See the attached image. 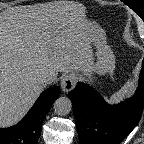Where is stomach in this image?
Listing matches in <instances>:
<instances>
[{
  "instance_id": "obj_1",
  "label": "stomach",
  "mask_w": 144,
  "mask_h": 144,
  "mask_svg": "<svg viewBox=\"0 0 144 144\" xmlns=\"http://www.w3.org/2000/svg\"><path fill=\"white\" fill-rule=\"evenodd\" d=\"M88 23L90 31L89 42L95 49V63L92 71L97 76L102 77L113 72L115 56L108 45L105 31L94 22L88 20Z\"/></svg>"
}]
</instances>
